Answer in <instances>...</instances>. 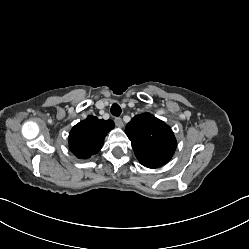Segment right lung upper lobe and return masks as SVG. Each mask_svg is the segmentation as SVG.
Listing matches in <instances>:
<instances>
[{"label":"right lung upper lobe","mask_w":249,"mask_h":249,"mask_svg":"<svg viewBox=\"0 0 249 249\" xmlns=\"http://www.w3.org/2000/svg\"><path fill=\"white\" fill-rule=\"evenodd\" d=\"M114 128L112 120L88 116L76 124L69 133V148L80 159L90 158L103 146L107 133Z\"/></svg>","instance_id":"obj_1"}]
</instances>
